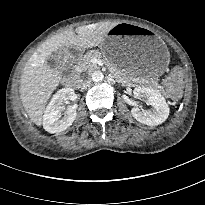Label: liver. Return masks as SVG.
<instances>
[{
    "label": "liver",
    "mask_w": 205,
    "mask_h": 205,
    "mask_svg": "<svg viewBox=\"0 0 205 205\" xmlns=\"http://www.w3.org/2000/svg\"><path fill=\"white\" fill-rule=\"evenodd\" d=\"M117 25L115 22H102L67 30L46 40L32 54L25 64L20 78V98L31 122L42 124L43 113L51 94L62 82L59 71L47 66V59L59 49L70 47L79 50L99 46L105 41L108 32Z\"/></svg>",
    "instance_id": "6515ba94"
}]
</instances>
